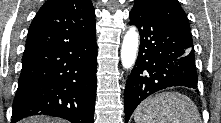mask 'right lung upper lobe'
I'll return each mask as SVG.
<instances>
[{
    "label": "right lung upper lobe",
    "mask_w": 221,
    "mask_h": 123,
    "mask_svg": "<svg viewBox=\"0 0 221 123\" xmlns=\"http://www.w3.org/2000/svg\"><path fill=\"white\" fill-rule=\"evenodd\" d=\"M95 33L90 0H47L30 25L25 51L65 46Z\"/></svg>",
    "instance_id": "right-lung-upper-lobe-1"
}]
</instances>
